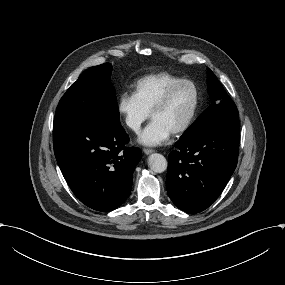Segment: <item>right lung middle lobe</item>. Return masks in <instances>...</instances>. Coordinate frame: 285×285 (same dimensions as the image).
Segmentation results:
<instances>
[{"mask_svg": "<svg viewBox=\"0 0 285 285\" xmlns=\"http://www.w3.org/2000/svg\"><path fill=\"white\" fill-rule=\"evenodd\" d=\"M111 63L88 68L59 101L55 120L88 119L119 122L115 89L110 82Z\"/></svg>", "mask_w": 285, "mask_h": 285, "instance_id": "obj_1", "label": "right lung middle lobe"}]
</instances>
